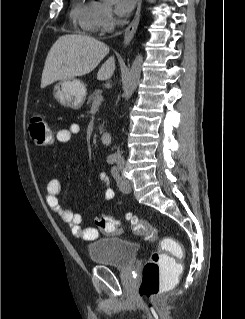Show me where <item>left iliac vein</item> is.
Segmentation results:
<instances>
[{
	"mask_svg": "<svg viewBox=\"0 0 245 319\" xmlns=\"http://www.w3.org/2000/svg\"><path fill=\"white\" fill-rule=\"evenodd\" d=\"M120 167L122 168V166H120ZM120 180L125 184V190H123V191L130 192L131 191V184H130L129 180L124 176H121Z\"/></svg>",
	"mask_w": 245,
	"mask_h": 319,
	"instance_id": "4c4485c4",
	"label": "left iliac vein"
}]
</instances>
